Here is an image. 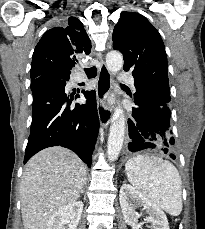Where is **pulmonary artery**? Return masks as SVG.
I'll return each instance as SVG.
<instances>
[{
	"label": "pulmonary artery",
	"instance_id": "pulmonary-artery-1",
	"mask_svg": "<svg viewBox=\"0 0 205 229\" xmlns=\"http://www.w3.org/2000/svg\"><path fill=\"white\" fill-rule=\"evenodd\" d=\"M120 80L123 83L130 84V85L134 86V78L132 77V75H130L128 73H122L120 75Z\"/></svg>",
	"mask_w": 205,
	"mask_h": 229
}]
</instances>
